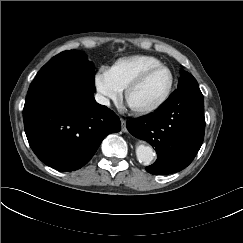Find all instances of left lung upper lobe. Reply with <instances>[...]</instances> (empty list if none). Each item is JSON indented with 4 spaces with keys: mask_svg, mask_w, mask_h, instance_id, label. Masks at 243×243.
Here are the masks:
<instances>
[{
    "mask_svg": "<svg viewBox=\"0 0 243 243\" xmlns=\"http://www.w3.org/2000/svg\"><path fill=\"white\" fill-rule=\"evenodd\" d=\"M187 85H198L196 79L188 72L182 71L181 77L179 78L178 87Z\"/></svg>",
    "mask_w": 243,
    "mask_h": 243,
    "instance_id": "1",
    "label": "left lung upper lobe"
}]
</instances>
